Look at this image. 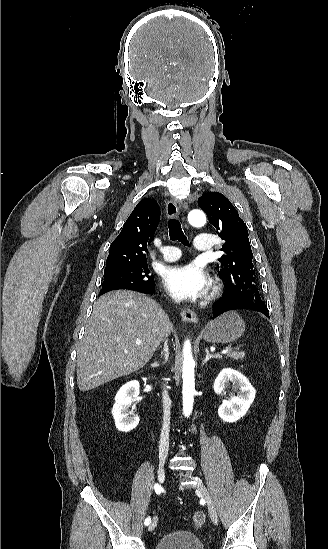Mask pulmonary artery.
<instances>
[{
    "label": "pulmonary artery",
    "mask_w": 328,
    "mask_h": 549,
    "mask_svg": "<svg viewBox=\"0 0 328 549\" xmlns=\"http://www.w3.org/2000/svg\"><path fill=\"white\" fill-rule=\"evenodd\" d=\"M193 245L195 248H198L200 252H213L216 248L212 237H195ZM162 253L165 261L172 262L183 256L185 250L181 246L176 247L174 251L166 247L163 249Z\"/></svg>",
    "instance_id": "pulmonary-artery-1"
}]
</instances>
